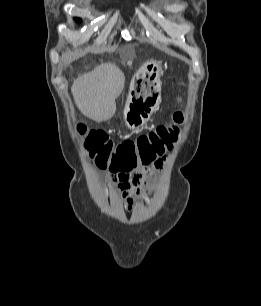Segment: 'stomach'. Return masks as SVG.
Instances as JSON below:
<instances>
[{
	"label": "stomach",
	"mask_w": 261,
	"mask_h": 306,
	"mask_svg": "<svg viewBox=\"0 0 261 306\" xmlns=\"http://www.w3.org/2000/svg\"><path fill=\"white\" fill-rule=\"evenodd\" d=\"M145 68L148 76L139 84L133 80L123 112L126 125L133 130L141 128L148 121L161 99L160 63L150 61Z\"/></svg>",
	"instance_id": "0dacf381"
}]
</instances>
